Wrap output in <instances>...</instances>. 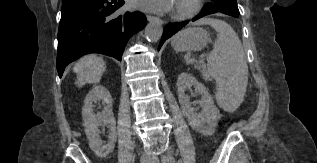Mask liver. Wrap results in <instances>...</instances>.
<instances>
[{
    "instance_id": "1",
    "label": "liver",
    "mask_w": 317,
    "mask_h": 163,
    "mask_svg": "<svg viewBox=\"0 0 317 163\" xmlns=\"http://www.w3.org/2000/svg\"><path fill=\"white\" fill-rule=\"evenodd\" d=\"M106 70V63L102 57L87 55L81 58L73 67L77 75L76 85L95 84L100 81Z\"/></svg>"
}]
</instances>
